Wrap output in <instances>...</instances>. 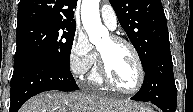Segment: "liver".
Returning a JSON list of instances; mask_svg holds the SVG:
<instances>
[{"instance_id":"6515ba94","label":"liver","mask_w":193,"mask_h":112,"mask_svg":"<svg viewBox=\"0 0 193 112\" xmlns=\"http://www.w3.org/2000/svg\"><path fill=\"white\" fill-rule=\"evenodd\" d=\"M136 104L97 95L49 91L29 99L19 112H120Z\"/></svg>"}]
</instances>
